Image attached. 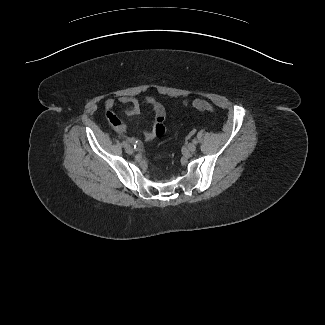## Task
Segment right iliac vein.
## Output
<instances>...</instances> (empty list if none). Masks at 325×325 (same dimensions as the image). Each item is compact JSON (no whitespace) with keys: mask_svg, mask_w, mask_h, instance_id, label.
<instances>
[{"mask_svg":"<svg viewBox=\"0 0 325 325\" xmlns=\"http://www.w3.org/2000/svg\"><path fill=\"white\" fill-rule=\"evenodd\" d=\"M125 150L128 154H132L133 153V148L130 145H126L125 146Z\"/></svg>","mask_w":325,"mask_h":325,"instance_id":"1","label":"right iliac vein"}]
</instances>
